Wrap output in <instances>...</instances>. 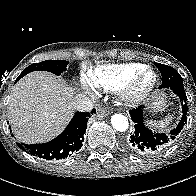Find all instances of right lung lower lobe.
I'll use <instances>...</instances> for the list:
<instances>
[{
    "instance_id": "right-lung-lower-lobe-1",
    "label": "right lung lower lobe",
    "mask_w": 196,
    "mask_h": 196,
    "mask_svg": "<svg viewBox=\"0 0 196 196\" xmlns=\"http://www.w3.org/2000/svg\"><path fill=\"white\" fill-rule=\"evenodd\" d=\"M19 79L20 77L17 78V80ZM93 113H95L94 109L91 113L76 112L66 129L58 137L47 143L30 145L17 143V145L31 155L46 160L67 158L82 147L87 122Z\"/></svg>"
}]
</instances>
